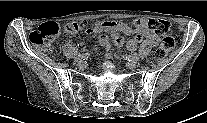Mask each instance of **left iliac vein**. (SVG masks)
<instances>
[{"instance_id":"1","label":"left iliac vein","mask_w":207,"mask_h":123,"mask_svg":"<svg viewBox=\"0 0 207 123\" xmlns=\"http://www.w3.org/2000/svg\"><path fill=\"white\" fill-rule=\"evenodd\" d=\"M127 67L130 69H135L137 67V63L136 62H132V61H128L126 63Z\"/></svg>"}]
</instances>
